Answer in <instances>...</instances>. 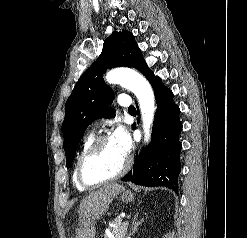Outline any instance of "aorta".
I'll use <instances>...</instances> for the list:
<instances>
[{
  "mask_svg": "<svg viewBox=\"0 0 247 238\" xmlns=\"http://www.w3.org/2000/svg\"><path fill=\"white\" fill-rule=\"evenodd\" d=\"M106 81L110 84H120L136 95L143 122L144 140L148 143L156 109L154 93L149 82L141 74L130 69L112 70L107 73Z\"/></svg>",
  "mask_w": 247,
  "mask_h": 238,
  "instance_id": "1",
  "label": "aorta"
}]
</instances>
